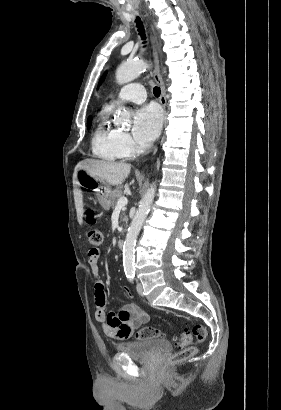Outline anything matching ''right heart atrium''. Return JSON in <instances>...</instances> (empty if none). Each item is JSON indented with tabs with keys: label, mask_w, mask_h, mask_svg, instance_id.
Returning <instances> with one entry per match:
<instances>
[{
	"label": "right heart atrium",
	"mask_w": 281,
	"mask_h": 410,
	"mask_svg": "<svg viewBox=\"0 0 281 410\" xmlns=\"http://www.w3.org/2000/svg\"><path fill=\"white\" fill-rule=\"evenodd\" d=\"M120 142L127 156L134 155L138 147L129 134L120 132Z\"/></svg>",
	"instance_id": "obj_1"
}]
</instances>
